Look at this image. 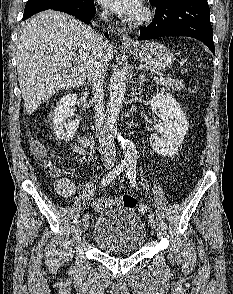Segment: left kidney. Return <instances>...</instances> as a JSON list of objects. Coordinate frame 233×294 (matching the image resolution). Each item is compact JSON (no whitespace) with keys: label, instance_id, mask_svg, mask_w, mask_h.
Wrapping results in <instances>:
<instances>
[{"label":"left kidney","instance_id":"obj_1","mask_svg":"<svg viewBox=\"0 0 233 294\" xmlns=\"http://www.w3.org/2000/svg\"><path fill=\"white\" fill-rule=\"evenodd\" d=\"M150 106L152 110H159V116L163 120V123L154 126L156 133L151 134L150 145L162 156H173L183 142L189 122L170 93L158 92L152 97Z\"/></svg>","mask_w":233,"mask_h":294}]
</instances>
